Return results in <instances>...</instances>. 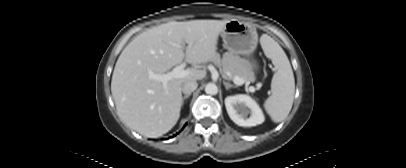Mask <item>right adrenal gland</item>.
Returning <instances> with one entry per match:
<instances>
[{"label": "right adrenal gland", "mask_w": 406, "mask_h": 168, "mask_svg": "<svg viewBox=\"0 0 406 168\" xmlns=\"http://www.w3.org/2000/svg\"><path fill=\"white\" fill-rule=\"evenodd\" d=\"M190 95H191V94H187V95H185V96L182 98V104L184 103V101H185L186 99H188V98L190 97Z\"/></svg>", "instance_id": "2a0ac1e0"}]
</instances>
